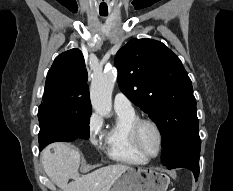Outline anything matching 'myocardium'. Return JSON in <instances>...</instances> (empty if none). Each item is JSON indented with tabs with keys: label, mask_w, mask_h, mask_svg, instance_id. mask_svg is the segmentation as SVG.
Here are the masks:
<instances>
[{
	"label": "myocardium",
	"mask_w": 233,
	"mask_h": 191,
	"mask_svg": "<svg viewBox=\"0 0 233 191\" xmlns=\"http://www.w3.org/2000/svg\"><path fill=\"white\" fill-rule=\"evenodd\" d=\"M143 125H150L154 128V130L157 133V137H158V148H157V152L154 155H147L141 145H140V141H139V133L140 130L142 128ZM130 137H131V141L132 144L134 145L135 149L138 151L139 154H141L144 158H146L147 160H151L156 158L162 150V145H163V135H162V131L159 127V125L152 119L149 118H139L137 119L131 126L130 128Z\"/></svg>",
	"instance_id": "obj_1"
}]
</instances>
